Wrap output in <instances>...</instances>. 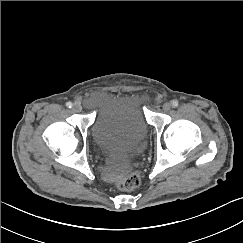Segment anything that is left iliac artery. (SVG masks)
Instances as JSON below:
<instances>
[{
	"label": "left iliac artery",
	"mask_w": 243,
	"mask_h": 243,
	"mask_svg": "<svg viewBox=\"0 0 243 243\" xmlns=\"http://www.w3.org/2000/svg\"><path fill=\"white\" fill-rule=\"evenodd\" d=\"M171 104H172V106L175 108V107L178 106V101H177V100H173V101L171 102Z\"/></svg>",
	"instance_id": "left-iliac-artery-1"
}]
</instances>
